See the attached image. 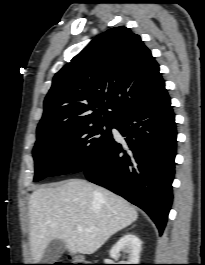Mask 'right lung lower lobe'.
<instances>
[{
    "instance_id": "1",
    "label": "right lung lower lobe",
    "mask_w": 205,
    "mask_h": 265,
    "mask_svg": "<svg viewBox=\"0 0 205 265\" xmlns=\"http://www.w3.org/2000/svg\"><path fill=\"white\" fill-rule=\"evenodd\" d=\"M113 137L82 171L86 178L143 209L162 234L172 203L176 126L166 89L148 105L117 119Z\"/></svg>"
}]
</instances>
